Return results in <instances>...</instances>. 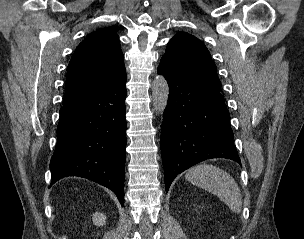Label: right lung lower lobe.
<instances>
[{
  "mask_svg": "<svg viewBox=\"0 0 304 239\" xmlns=\"http://www.w3.org/2000/svg\"><path fill=\"white\" fill-rule=\"evenodd\" d=\"M126 74L99 91L63 105L51 158L54 184L80 176L111 189L124 205Z\"/></svg>",
  "mask_w": 304,
  "mask_h": 239,
  "instance_id": "obj_1",
  "label": "right lung lower lobe"
}]
</instances>
